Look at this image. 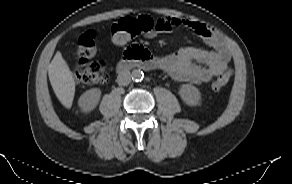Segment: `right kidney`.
<instances>
[{"mask_svg":"<svg viewBox=\"0 0 292 184\" xmlns=\"http://www.w3.org/2000/svg\"><path fill=\"white\" fill-rule=\"evenodd\" d=\"M100 97L101 90L93 88L87 90L80 96L78 104L83 112H90L98 105Z\"/></svg>","mask_w":292,"mask_h":184,"instance_id":"right-kidney-1","label":"right kidney"}]
</instances>
